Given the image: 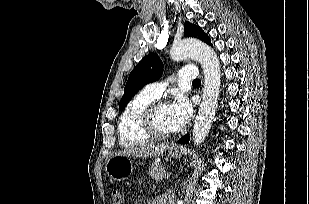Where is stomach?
<instances>
[{
  "instance_id": "1",
  "label": "stomach",
  "mask_w": 309,
  "mask_h": 204,
  "mask_svg": "<svg viewBox=\"0 0 309 204\" xmlns=\"http://www.w3.org/2000/svg\"><path fill=\"white\" fill-rule=\"evenodd\" d=\"M185 152V149L182 147L169 148V154L172 157L180 158ZM133 160L130 156L126 155H113L106 163L105 171L107 175L116 181H121L128 178L133 172Z\"/></svg>"
}]
</instances>
